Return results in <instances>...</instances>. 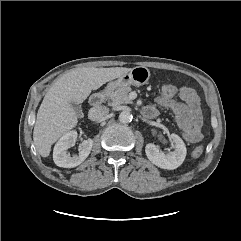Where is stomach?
Listing matches in <instances>:
<instances>
[{"label": "stomach", "instance_id": "obj_1", "mask_svg": "<svg viewBox=\"0 0 241 241\" xmlns=\"http://www.w3.org/2000/svg\"><path fill=\"white\" fill-rule=\"evenodd\" d=\"M150 75V71L147 67L136 66L132 68L128 73L118 77L117 80L110 82L107 88L109 90H114L118 87H125L130 85L139 87L149 81Z\"/></svg>", "mask_w": 241, "mask_h": 241}]
</instances>
